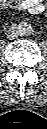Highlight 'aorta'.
<instances>
[{"instance_id":"1","label":"aorta","mask_w":47,"mask_h":129,"mask_svg":"<svg viewBox=\"0 0 47 129\" xmlns=\"http://www.w3.org/2000/svg\"><path fill=\"white\" fill-rule=\"evenodd\" d=\"M33 29L31 24L27 22H21L18 26V34L20 36H28L32 33Z\"/></svg>"}]
</instances>
